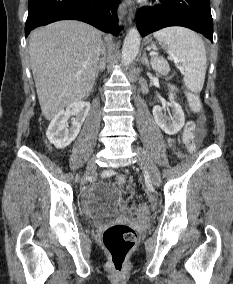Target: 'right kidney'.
I'll use <instances>...</instances> for the list:
<instances>
[{
    "mask_svg": "<svg viewBox=\"0 0 233 284\" xmlns=\"http://www.w3.org/2000/svg\"><path fill=\"white\" fill-rule=\"evenodd\" d=\"M90 110V103L78 101L70 104L65 111L59 112L51 121L46 135L51 144L62 149L70 145L79 134L81 126ZM72 118L71 126L68 120Z\"/></svg>",
    "mask_w": 233,
    "mask_h": 284,
    "instance_id": "obj_1",
    "label": "right kidney"
}]
</instances>
